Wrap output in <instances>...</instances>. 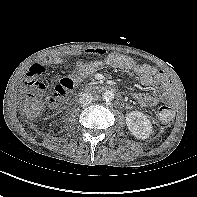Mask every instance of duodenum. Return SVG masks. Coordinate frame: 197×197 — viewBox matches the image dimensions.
Wrapping results in <instances>:
<instances>
[{
  "label": "duodenum",
  "mask_w": 197,
  "mask_h": 197,
  "mask_svg": "<svg viewBox=\"0 0 197 197\" xmlns=\"http://www.w3.org/2000/svg\"><path fill=\"white\" fill-rule=\"evenodd\" d=\"M97 90L99 92H103V91L111 90V88L108 86H99Z\"/></svg>",
  "instance_id": "1"
}]
</instances>
